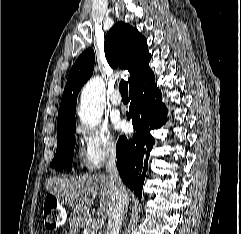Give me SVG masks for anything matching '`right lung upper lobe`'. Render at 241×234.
Segmentation results:
<instances>
[{"mask_svg": "<svg viewBox=\"0 0 241 234\" xmlns=\"http://www.w3.org/2000/svg\"><path fill=\"white\" fill-rule=\"evenodd\" d=\"M104 51L112 68L126 69L131 74L128 79L129 88L152 72L149 67L151 54L147 48V40L129 24L118 22L109 30L105 37ZM94 62V52L88 49L71 68L58 111L57 131L76 125L77 95L91 77Z\"/></svg>", "mask_w": 241, "mask_h": 234, "instance_id": "obj_1", "label": "right lung upper lobe"}]
</instances>
